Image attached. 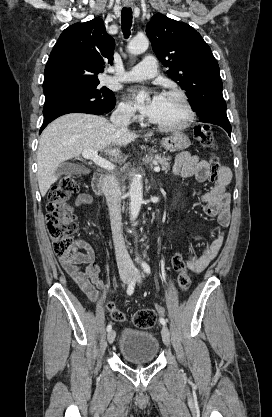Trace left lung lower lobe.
<instances>
[{
	"mask_svg": "<svg viewBox=\"0 0 272 417\" xmlns=\"http://www.w3.org/2000/svg\"><path fill=\"white\" fill-rule=\"evenodd\" d=\"M200 122H204V121L200 120ZM207 123H212V124H215V125H219V124H216L214 122H207ZM219 126L224 128L229 135L231 134V126L230 127H226V126H223V125H219Z\"/></svg>",
	"mask_w": 272,
	"mask_h": 417,
	"instance_id": "0a47b994",
	"label": "left lung lower lobe"
}]
</instances>
